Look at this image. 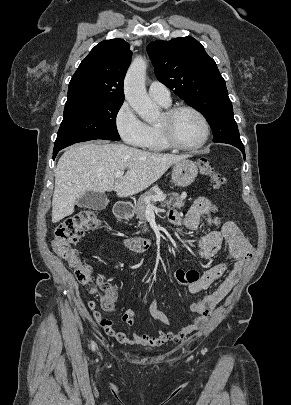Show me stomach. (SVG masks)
<instances>
[{"mask_svg": "<svg viewBox=\"0 0 291 405\" xmlns=\"http://www.w3.org/2000/svg\"><path fill=\"white\" fill-rule=\"evenodd\" d=\"M197 174L198 168L196 164L191 160L184 159L174 164L172 169V181L175 185L184 188L194 182Z\"/></svg>", "mask_w": 291, "mask_h": 405, "instance_id": "1", "label": "stomach"}]
</instances>
